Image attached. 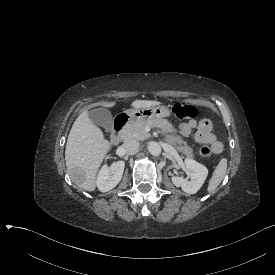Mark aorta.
Returning a JSON list of instances; mask_svg holds the SVG:
<instances>
[{"label": "aorta", "mask_w": 275, "mask_h": 275, "mask_svg": "<svg viewBox=\"0 0 275 275\" xmlns=\"http://www.w3.org/2000/svg\"><path fill=\"white\" fill-rule=\"evenodd\" d=\"M150 154L158 156L161 153V146L158 142L150 141L147 147Z\"/></svg>", "instance_id": "1"}]
</instances>
